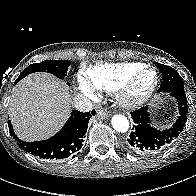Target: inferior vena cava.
<instances>
[{
    "mask_svg": "<svg viewBox=\"0 0 196 196\" xmlns=\"http://www.w3.org/2000/svg\"><path fill=\"white\" fill-rule=\"evenodd\" d=\"M72 106L80 112H89L93 109V103L84 95L77 94L73 97Z\"/></svg>",
    "mask_w": 196,
    "mask_h": 196,
    "instance_id": "obj_1",
    "label": "inferior vena cava"
}]
</instances>
